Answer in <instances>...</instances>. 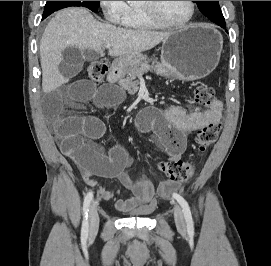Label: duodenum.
<instances>
[{
  "label": "duodenum",
  "mask_w": 271,
  "mask_h": 266,
  "mask_svg": "<svg viewBox=\"0 0 271 266\" xmlns=\"http://www.w3.org/2000/svg\"><path fill=\"white\" fill-rule=\"evenodd\" d=\"M125 64L126 60L124 59H117L113 61L108 75V80L115 81V83H117L119 78L123 75Z\"/></svg>",
  "instance_id": "410a0bca"
}]
</instances>
